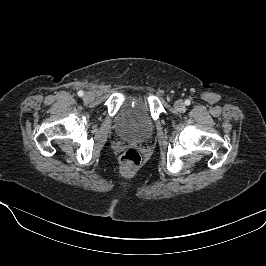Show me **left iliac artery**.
I'll use <instances>...</instances> for the list:
<instances>
[{
	"label": "left iliac artery",
	"instance_id": "left-iliac-artery-1",
	"mask_svg": "<svg viewBox=\"0 0 266 266\" xmlns=\"http://www.w3.org/2000/svg\"><path fill=\"white\" fill-rule=\"evenodd\" d=\"M185 104L188 106V105H190V100H185Z\"/></svg>",
	"mask_w": 266,
	"mask_h": 266
}]
</instances>
